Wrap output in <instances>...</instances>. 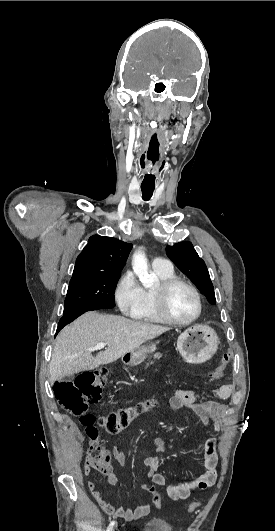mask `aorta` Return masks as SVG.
Here are the masks:
<instances>
[{
  "instance_id": "obj_1",
  "label": "aorta",
  "mask_w": 275,
  "mask_h": 531,
  "mask_svg": "<svg viewBox=\"0 0 275 531\" xmlns=\"http://www.w3.org/2000/svg\"><path fill=\"white\" fill-rule=\"evenodd\" d=\"M132 269L139 277L143 287L145 289H151L153 287L155 281H158V279H155L153 275H149L148 273V261L146 259V255L142 253V251H136L132 257Z\"/></svg>"
}]
</instances>
